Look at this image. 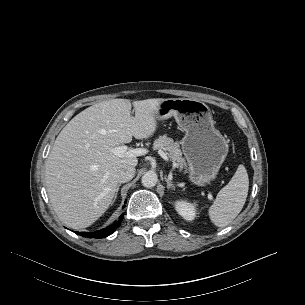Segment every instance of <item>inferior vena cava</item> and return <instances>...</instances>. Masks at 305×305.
<instances>
[{"instance_id":"602c4592","label":"inferior vena cava","mask_w":305,"mask_h":305,"mask_svg":"<svg viewBox=\"0 0 305 305\" xmlns=\"http://www.w3.org/2000/svg\"><path fill=\"white\" fill-rule=\"evenodd\" d=\"M135 175V167L127 166L120 169L117 173V182L124 183L130 181Z\"/></svg>"}]
</instances>
